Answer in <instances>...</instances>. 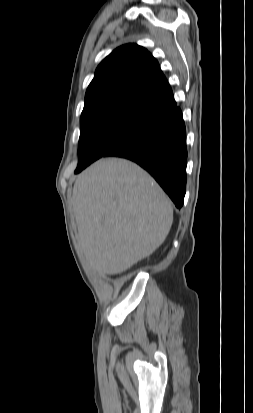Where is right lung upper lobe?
I'll return each instance as SVG.
<instances>
[{
    "instance_id": "obj_1",
    "label": "right lung upper lobe",
    "mask_w": 253,
    "mask_h": 413,
    "mask_svg": "<svg viewBox=\"0 0 253 413\" xmlns=\"http://www.w3.org/2000/svg\"><path fill=\"white\" fill-rule=\"evenodd\" d=\"M176 107L171 87L157 60L143 47L127 44L97 67L87 88L81 117L126 108L158 117Z\"/></svg>"
}]
</instances>
